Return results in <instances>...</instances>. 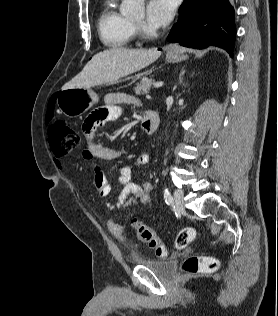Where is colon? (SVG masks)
I'll list each match as a JSON object with an SVG mask.
<instances>
[{"label":"colon","instance_id":"1","mask_svg":"<svg viewBox=\"0 0 278 316\" xmlns=\"http://www.w3.org/2000/svg\"><path fill=\"white\" fill-rule=\"evenodd\" d=\"M49 144L53 154L61 157L76 150L81 143L80 134L63 121L51 124L48 130ZM137 237L155 250L159 257L167 254L165 245L160 241L156 233L146 224L139 220L132 222ZM196 236L193 228H183L177 235L175 246L177 249L185 248ZM219 263L216 259L204 255L191 256L183 263V271L189 275L213 272L218 269Z\"/></svg>","mask_w":278,"mask_h":316}]
</instances>
